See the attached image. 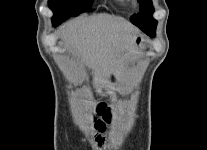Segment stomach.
Returning <instances> with one entry per match:
<instances>
[{"instance_id":"1","label":"stomach","mask_w":207,"mask_h":150,"mask_svg":"<svg viewBox=\"0 0 207 150\" xmlns=\"http://www.w3.org/2000/svg\"><path fill=\"white\" fill-rule=\"evenodd\" d=\"M142 43H143V39L141 37H139V36H136V38H135V44H134L135 49L138 50L139 48H141ZM110 89H111V85H109V84H103L102 86H100V88L98 89V91L101 94H106Z\"/></svg>"}]
</instances>
